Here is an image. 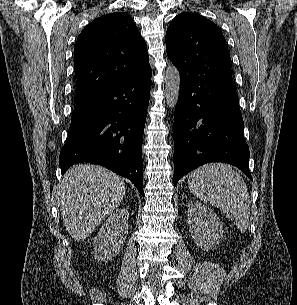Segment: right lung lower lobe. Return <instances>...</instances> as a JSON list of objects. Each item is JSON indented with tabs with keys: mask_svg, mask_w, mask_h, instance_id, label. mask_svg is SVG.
<instances>
[{
	"mask_svg": "<svg viewBox=\"0 0 297 305\" xmlns=\"http://www.w3.org/2000/svg\"><path fill=\"white\" fill-rule=\"evenodd\" d=\"M151 75L150 68L77 103L59 156L62 174L75 163H96L131 180L142 194L141 150Z\"/></svg>",
	"mask_w": 297,
	"mask_h": 305,
	"instance_id": "right-lung-lower-lobe-1",
	"label": "right lung lower lobe"
}]
</instances>
